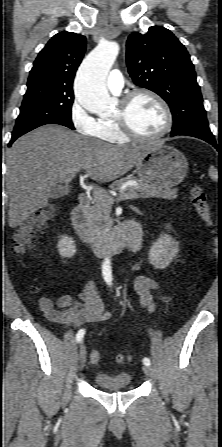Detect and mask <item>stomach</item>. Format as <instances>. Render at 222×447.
<instances>
[{
	"instance_id": "0dacf381",
	"label": "stomach",
	"mask_w": 222,
	"mask_h": 447,
	"mask_svg": "<svg viewBox=\"0 0 222 447\" xmlns=\"http://www.w3.org/2000/svg\"><path fill=\"white\" fill-rule=\"evenodd\" d=\"M139 177L162 188L178 185L185 178L188 162L176 148L158 143L152 145L136 165Z\"/></svg>"
}]
</instances>
